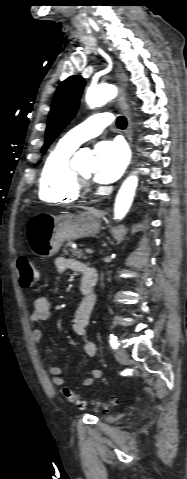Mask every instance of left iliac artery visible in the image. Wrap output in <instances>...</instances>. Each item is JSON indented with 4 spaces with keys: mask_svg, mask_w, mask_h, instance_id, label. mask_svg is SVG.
I'll use <instances>...</instances> for the list:
<instances>
[{
    "mask_svg": "<svg viewBox=\"0 0 187 479\" xmlns=\"http://www.w3.org/2000/svg\"><path fill=\"white\" fill-rule=\"evenodd\" d=\"M110 345L113 349H117L118 346H119V343H118V340H117V337L114 336L113 334H110Z\"/></svg>",
    "mask_w": 187,
    "mask_h": 479,
    "instance_id": "obj_1",
    "label": "left iliac artery"
}]
</instances>
